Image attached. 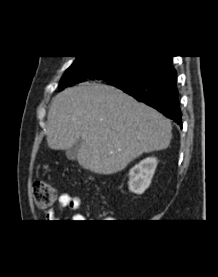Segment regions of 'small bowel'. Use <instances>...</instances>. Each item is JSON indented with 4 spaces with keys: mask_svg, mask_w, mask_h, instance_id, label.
Returning <instances> with one entry per match:
<instances>
[{
    "mask_svg": "<svg viewBox=\"0 0 218 277\" xmlns=\"http://www.w3.org/2000/svg\"><path fill=\"white\" fill-rule=\"evenodd\" d=\"M81 203L80 197L72 195L68 192H63L58 197V204L55 208L49 209L46 214L45 218L47 222H56L62 214L64 209H68L70 211H75L79 208ZM74 220H82L83 216L76 214L73 216Z\"/></svg>",
    "mask_w": 218,
    "mask_h": 277,
    "instance_id": "small-bowel-1",
    "label": "small bowel"
}]
</instances>
